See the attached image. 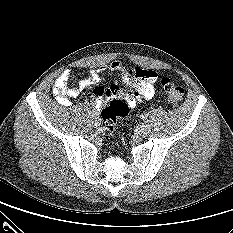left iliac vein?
Instances as JSON below:
<instances>
[{
	"label": "left iliac vein",
	"instance_id": "obj_1",
	"mask_svg": "<svg viewBox=\"0 0 233 233\" xmlns=\"http://www.w3.org/2000/svg\"><path fill=\"white\" fill-rule=\"evenodd\" d=\"M138 135L141 136V137H145L148 133V129H147V126L142 124L139 126L138 130Z\"/></svg>",
	"mask_w": 233,
	"mask_h": 233
}]
</instances>
